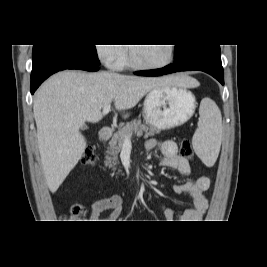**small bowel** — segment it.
Here are the masks:
<instances>
[{
	"label": "small bowel",
	"mask_w": 267,
	"mask_h": 267,
	"mask_svg": "<svg viewBox=\"0 0 267 267\" xmlns=\"http://www.w3.org/2000/svg\"><path fill=\"white\" fill-rule=\"evenodd\" d=\"M146 148L152 150L160 149L163 159L161 166L177 170L181 175L188 176L190 174V165L186 158L178 154L177 144L172 140L159 141L157 139H149ZM210 179L206 175H201L194 180L187 181L182 184L173 186L175 193H186L193 199V207L186 210L177 222H194L200 219L207 210L208 202L204 192L209 188ZM113 210L111 219L119 220L122 214V197L118 194L106 196L94 201L91 205L90 219L97 221L102 212ZM164 215L169 222H174V215L170 209H163Z\"/></svg>",
	"instance_id": "small-bowel-1"
}]
</instances>
